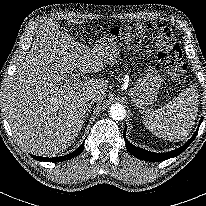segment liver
<instances>
[{
    "mask_svg": "<svg viewBox=\"0 0 206 206\" xmlns=\"http://www.w3.org/2000/svg\"><path fill=\"white\" fill-rule=\"evenodd\" d=\"M109 63L101 48L77 42L58 22L43 23L5 94L4 110L22 147L35 155H56L71 146L86 119L87 96L95 94L102 102L108 80L74 83L69 74L75 69L99 73Z\"/></svg>",
    "mask_w": 206,
    "mask_h": 206,
    "instance_id": "1",
    "label": "liver"
}]
</instances>
